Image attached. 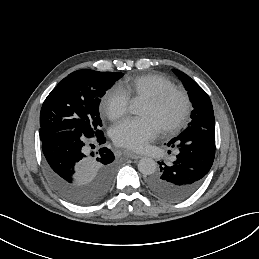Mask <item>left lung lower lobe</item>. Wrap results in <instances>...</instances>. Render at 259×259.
<instances>
[{
	"label": "left lung lower lobe",
	"instance_id": "left-lung-lower-lobe-1",
	"mask_svg": "<svg viewBox=\"0 0 259 259\" xmlns=\"http://www.w3.org/2000/svg\"><path fill=\"white\" fill-rule=\"evenodd\" d=\"M169 146L179 150L172 165L160 163V171L148 179V188L162 199L182 201L201 186L215 157V129L187 127Z\"/></svg>",
	"mask_w": 259,
	"mask_h": 259
}]
</instances>
